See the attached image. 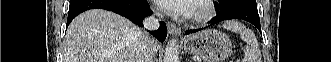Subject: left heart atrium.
Segmentation results:
<instances>
[{
    "label": "left heart atrium",
    "mask_w": 331,
    "mask_h": 62,
    "mask_svg": "<svg viewBox=\"0 0 331 62\" xmlns=\"http://www.w3.org/2000/svg\"><path fill=\"white\" fill-rule=\"evenodd\" d=\"M157 4L167 12L189 16L194 11L193 0H157Z\"/></svg>",
    "instance_id": "left-heart-atrium-1"
}]
</instances>
